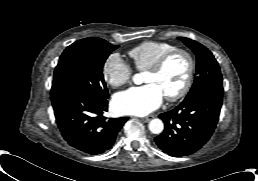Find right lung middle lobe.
Masks as SVG:
<instances>
[{
    "label": "right lung middle lobe",
    "mask_w": 258,
    "mask_h": 181,
    "mask_svg": "<svg viewBox=\"0 0 258 181\" xmlns=\"http://www.w3.org/2000/svg\"><path fill=\"white\" fill-rule=\"evenodd\" d=\"M114 46L101 38H85L68 46L55 68L52 89L68 87L99 101L109 94L103 77V66Z\"/></svg>",
    "instance_id": "dd1d6c3e"
}]
</instances>
